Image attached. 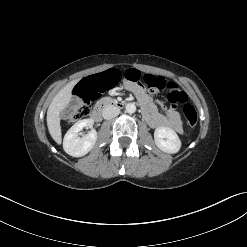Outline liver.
<instances>
[{
	"mask_svg": "<svg viewBox=\"0 0 247 247\" xmlns=\"http://www.w3.org/2000/svg\"><path fill=\"white\" fill-rule=\"evenodd\" d=\"M78 80H73L65 85L53 98L47 110V126L49 133L57 144H61L60 112L71 101V92Z\"/></svg>",
	"mask_w": 247,
	"mask_h": 247,
	"instance_id": "liver-1",
	"label": "liver"
}]
</instances>
